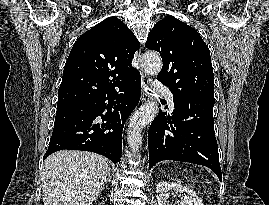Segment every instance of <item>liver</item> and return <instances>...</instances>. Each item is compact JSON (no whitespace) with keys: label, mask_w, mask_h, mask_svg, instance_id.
<instances>
[{"label":"liver","mask_w":269,"mask_h":205,"mask_svg":"<svg viewBox=\"0 0 269 205\" xmlns=\"http://www.w3.org/2000/svg\"><path fill=\"white\" fill-rule=\"evenodd\" d=\"M107 160L91 152L61 150L44 163V205H91L107 178Z\"/></svg>","instance_id":"1"}]
</instances>
